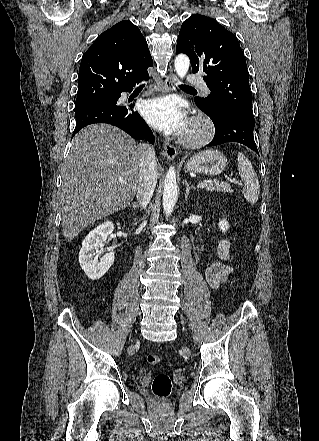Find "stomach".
<instances>
[{
    "instance_id": "stomach-1",
    "label": "stomach",
    "mask_w": 319,
    "mask_h": 441,
    "mask_svg": "<svg viewBox=\"0 0 319 441\" xmlns=\"http://www.w3.org/2000/svg\"><path fill=\"white\" fill-rule=\"evenodd\" d=\"M226 163L227 160L222 153L214 149H206L191 157L186 169L195 173L218 175L225 169Z\"/></svg>"
}]
</instances>
